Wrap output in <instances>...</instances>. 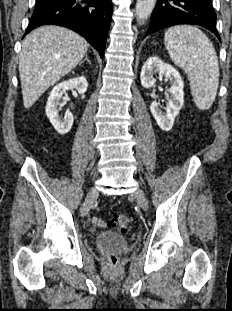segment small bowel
Segmentation results:
<instances>
[{
    "mask_svg": "<svg viewBox=\"0 0 232 311\" xmlns=\"http://www.w3.org/2000/svg\"><path fill=\"white\" fill-rule=\"evenodd\" d=\"M92 224H93L94 226H99V227H104V226H106V222H105L104 220L100 219V218H97V217H94V218L92 219Z\"/></svg>",
    "mask_w": 232,
    "mask_h": 311,
    "instance_id": "small-bowel-1",
    "label": "small bowel"
}]
</instances>
